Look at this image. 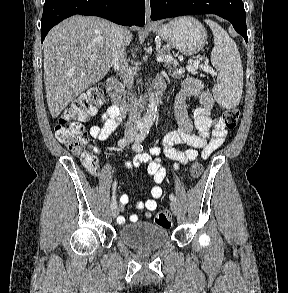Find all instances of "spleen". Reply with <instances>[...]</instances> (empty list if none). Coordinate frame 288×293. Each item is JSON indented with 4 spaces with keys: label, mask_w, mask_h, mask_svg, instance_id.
Listing matches in <instances>:
<instances>
[{
    "label": "spleen",
    "mask_w": 288,
    "mask_h": 293,
    "mask_svg": "<svg viewBox=\"0 0 288 293\" xmlns=\"http://www.w3.org/2000/svg\"><path fill=\"white\" fill-rule=\"evenodd\" d=\"M213 32L211 63L218 72L212 92L217 103L227 109L236 107L242 96L243 67L236 43L216 22L205 20Z\"/></svg>",
    "instance_id": "3e777b00"
}]
</instances>
